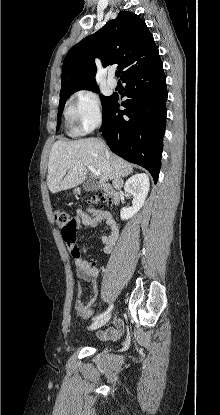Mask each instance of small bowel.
Masks as SVG:
<instances>
[{
  "label": "small bowel",
  "mask_w": 220,
  "mask_h": 415,
  "mask_svg": "<svg viewBox=\"0 0 220 415\" xmlns=\"http://www.w3.org/2000/svg\"><path fill=\"white\" fill-rule=\"evenodd\" d=\"M101 222H104L109 230L108 234L102 235L101 237L104 246L103 252L104 254H109L117 241L118 227L113 216L108 211L93 208H87L85 210L79 209L74 216V237L69 238L61 230L62 238L71 249L72 256L75 260L77 277L81 282L88 283L91 286V292L87 302L81 300L84 293L83 287L79 285L76 288V295L78 297L74 306L76 316L86 320L91 318L98 302L97 278L99 271L95 265L84 258L86 250L77 240V231L81 226L94 229ZM123 332L124 328L121 321L116 320L114 327L99 331L96 335L102 340H117L122 336Z\"/></svg>",
  "instance_id": "c3829d8e"
}]
</instances>
